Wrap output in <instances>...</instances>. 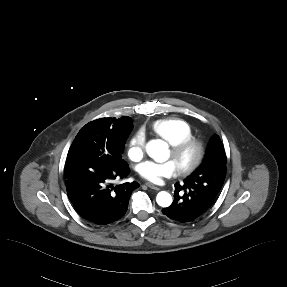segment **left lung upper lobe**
I'll use <instances>...</instances> for the list:
<instances>
[{"mask_svg":"<svg viewBox=\"0 0 287 287\" xmlns=\"http://www.w3.org/2000/svg\"><path fill=\"white\" fill-rule=\"evenodd\" d=\"M226 162L223 144L215 135L210 140L203 163L183 180V185L215 200L225 180Z\"/></svg>","mask_w":287,"mask_h":287,"instance_id":"left-lung-upper-lobe-1","label":"left lung upper lobe"}]
</instances>
